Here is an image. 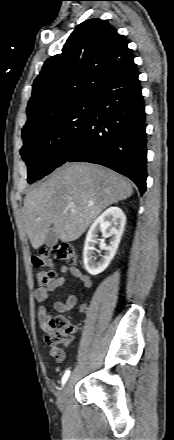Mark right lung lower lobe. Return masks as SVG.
<instances>
[{"instance_id":"obj_1","label":"right lung lower lobe","mask_w":174,"mask_h":440,"mask_svg":"<svg viewBox=\"0 0 174 440\" xmlns=\"http://www.w3.org/2000/svg\"><path fill=\"white\" fill-rule=\"evenodd\" d=\"M139 72L132 62L93 92L86 130L66 161L106 166L146 191L147 138ZM65 161V162H66Z\"/></svg>"}]
</instances>
